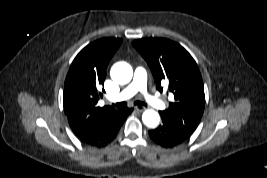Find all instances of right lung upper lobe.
Wrapping results in <instances>:
<instances>
[{
  "mask_svg": "<svg viewBox=\"0 0 267 178\" xmlns=\"http://www.w3.org/2000/svg\"><path fill=\"white\" fill-rule=\"evenodd\" d=\"M121 42L120 38L96 40L83 48L72 62L65 80L63 105L75 134L116 112L110 106H97V102L103 96L100 90L107 65Z\"/></svg>",
  "mask_w": 267,
  "mask_h": 178,
  "instance_id": "obj_1",
  "label": "right lung upper lobe"
}]
</instances>
